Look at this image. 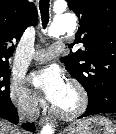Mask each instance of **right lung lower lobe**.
<instances>
[{"label": "right lung lower lobe", "mask_w": 116, "mask_h": 134, "mask_svg": "<svg viewBox=\"0 0 116 134\" xmlns=\"http://www.w3.org/2000/svg\"><path fill=\"white\" fill-rule=\"evenodd\" d=\"M0 117L7 119L14 124L19 122L18 113L13 104L4 108L3 110H0ZM22 127L27 131H35V126L32 123H24L22 124Z\"/></svg>", "instance_id": "98d812e1"}]
</instances>
